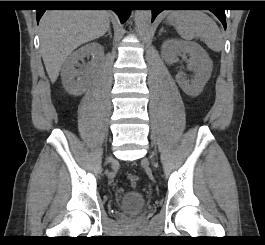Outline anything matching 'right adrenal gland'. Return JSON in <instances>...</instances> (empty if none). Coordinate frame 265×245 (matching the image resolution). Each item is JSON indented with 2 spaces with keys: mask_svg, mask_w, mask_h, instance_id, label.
Wrapping results in <instances>:
<instances>
[{
  "mask_svg": "<svg viewBox=\"0 0 265 245\" xmlns=\"http://www.w3.org/2000/svg\"><path fill=\"white\" fill-rule=\"evenodd\" d=\"M107 36H110V38H112V33H111V28L110 27H109L108 33H107V35H105V37H107Z\"/></svg>",
  "mask_w": 265,
  "mask_h": 245,
  "instance_id": "right-adrenal-gland-1",
  "label": "right adrenal gland"
}]
</instances>
